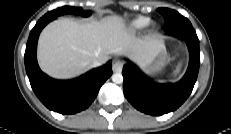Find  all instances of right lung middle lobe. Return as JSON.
Masks as SVG:
<instances>
[{"instance_id":"dd1d6c3e","label":"right lung middle lobe","mask_w":231,"mask_h":134,"mask_svg":"<svg viewBox=\"0 0 231 134\" xmlns=\"http://www.w3.org/2000/svg\"><path fill=\"white\" fill-rule=\"evenodd\" d=\"M82 12V9L79 7H69L64 6L61 8H58L56 10L48 12L46 15L43 16V18H56L57 16L63 15V14H81L82 16H89L90 12Z\"/></svg>"}]
</instances>
